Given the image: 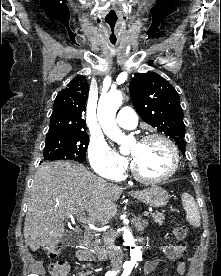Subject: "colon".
<instances>
[{"label": "colon", "mask_w": 221, "mask_h": 276, "mask_svg": "<svg viewBox=\"0 0 221 276\" xmlns=\"http://www.w3.org/2000/svg\"><path fill=\"white\" fill-rule=\"evenodd\" d=\"M188 227L184 224L178 225L174 230V236L180 246L185 247L187 242ZM44 251L50 258H55L59 248L57 246H46ZM69 267L63 260H56L49 265L50 276H68Z\"/></svg>", "instance_id": "obj_1"}]
</instances>
